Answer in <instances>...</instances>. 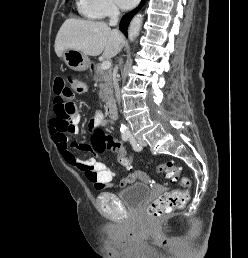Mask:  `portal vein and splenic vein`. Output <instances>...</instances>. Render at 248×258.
<instances>
[{
  "label": "portal vein and splenic vein",
  "mask_w": 248,
  "mask_h": 258,
  "mask_svg": "<svg viewBox=\"0 0 248 258\" xmlns=\"http://www.w3.org/2000/svg\"><path fill=\"white\" fill-rule=\"evenodd\" d=\"M110 67H111V61H109V60H105V61H103L102 64H101V68H102L103 70H107V69H109Z\"/></svg>",
  "instance_id": "1"
}]
</instances>
